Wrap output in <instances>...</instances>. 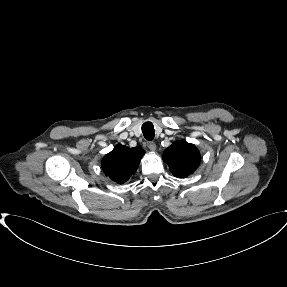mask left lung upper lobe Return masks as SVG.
I'll return each instance as SVG.
<instances>
[{
	"label": "left lung upper lobe",
	"mask_w": 287,
	"mask_h": 287,
	"mask_svg": "<svg viewBox=\"0 0 287 287\" xmlns=\"http://www.w3.org/2000/svg\"><path fill=\"white\" fill-rule=\"evenodd\" d=\"M163 161L168 164L171 173L178 178H185L193 173L200 163V153L194 144L178 141L163 153Z\"/></svg>",
	"instance_id": "obj_1"
}]
</instances>
